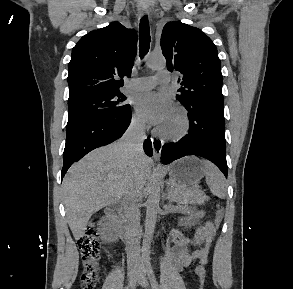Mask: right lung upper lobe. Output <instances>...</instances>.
I'll return each mask as SVG.
<instances>
[{
    "mask_svg": "<svg viewBox=\"0 0 293 289\" xmlns=\"http://www.w3.org/2000/svg\"><path fill=\"white\" fill-rule=\"evenodd\" d=\"M136 52V32L119 22L83 36L72 49L68 64V101L120 92L123 77L131 75Z\"/></svg>",
    "mask_w": 293,
    "mask_h": 289,
    "instance_id": "obj_1",
    "label": "right lung upper lobe"
}]
</instances>
